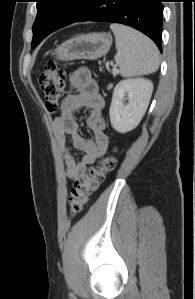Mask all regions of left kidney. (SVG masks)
<instances>
[{
    "instance_id": "5707ae66",
    "label": "left kidney",
    "mask_w": 195,
    "mask_h": 299,
    "mask_svg": "<svg viewBox=\"0 0 195 299\" xmlns=\"http://www.w3.org/2000/svg\"><path fill=\"white\" fill-rule=\"evenodd\" d=\"M153 91V84L144 78L120 81L113 92L109 116L112 127L127 133L138 126L143 118ZM128 104H124L125 100Z\"/></svg>"
}]
</instances>
